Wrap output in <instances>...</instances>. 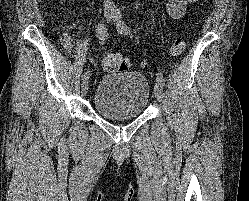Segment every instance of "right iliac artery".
Returning <instances> with one entry per match:
<instances>
[{
	"label": "right iliac artery",
	"mask_w": 249,
	"mask_h": 201,
	"mask_svg": "<svg viewBox=\"0 0 249 201\" xmlns=\"http://www.w3.org/2000/svg\"><path fill=\"white\" fill-rule=\"evenodd\" d=\"M97 37L102 40L105 41L108 38V33H107V29L105 27V25L100 24L97 28ZM90 77V72L86 71L83 75H82V79H89Z\"/></svg>",
	"instance_id": "1"
}]
</instances>
